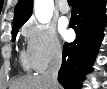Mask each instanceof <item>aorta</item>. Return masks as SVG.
<instances>
[{"label": "aorta", "mask_w": 107, "mask_h": 89, "mask_svg": "<svg viewBox=\"0 0 107 89\" xmlns=\"http://www.w3.org/2000/svg\"><path fill=\"white\" fill-rule=\"evenodd\" d=\"M54 11L53 0H35L34 1V13L37 20L40 23L50 22Z\"/></svg>", "instance_id": "762f6f07"}]
</instances>
